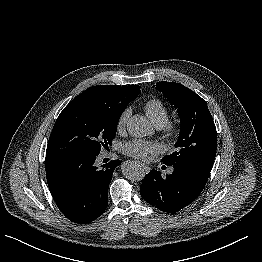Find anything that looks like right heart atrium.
I'll return each mask as SVG.
<instances>
[{
    "instance_id": "1",
    "label": "right heart atrium",
    "mask_w": 262,
    "mask_h": 262,
    "mask_svg": "<svg viewBox=\"0 0 262 262\" xmlns=\"http://www.w3.org/2000/svg\"><path fill=\"white\" fill-rule=\"evenodd\" d=\"M131 113H132V110L130 107H127L122 111L117 121L118 131H122L126 127L128 120L131 116Z\"/></svg>"
}]
</instances>
